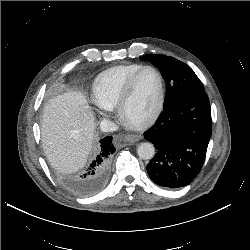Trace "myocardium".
<instances>
[{
	"label": "myocardium",
	"instance_id": "myocardium-1",
	"mask_svg": "<svg viewBox=\"0 0 250 250\" xmlns=\"http://www.w3.org/2000/svg\"><path fill=\"white\" fill-rule=\"evenodd\" d=\"M146 70H151L153 71L159 81V91H158V96L156 99V102L154 103L152 109L149 111L147 115H145L143 118L137 120V121H130L126 118L125 116V106L131 96L133 87L135 85L136 80L140 76V74ZM164 100H165V83L162 74L160 71L153 67V66H143L140 68L137 72H135L132 77L127 81L126 85L124 86L120 97L118 99V102L116 104V109L117 113L120 117V119L129 127L133 129H142L151 123H153L157 117L159 116L163 105H164Z\"/></svg>",
	"mask_w": 250,
	"mask_h": 250
}]
</instances>
